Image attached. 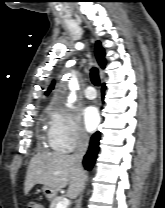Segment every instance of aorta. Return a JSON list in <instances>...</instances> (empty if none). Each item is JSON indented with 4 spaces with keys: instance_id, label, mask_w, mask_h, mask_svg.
<instances>
[{
    "instance_id": "aorta-1",
    "label": "aorta",
    "mask_w": 165,
    "mask_h": 208,
    "mask_svg": "<svg viewBox=\"0 0 165 208\" xmlns=\"http://www.w3.org/2000/svg\"><path fill=\"white\" fill-rule=\"evenodd\" d=\"M79 88L77 80L75 77L72 78V80L70 81V89H71V94L69 97V101L73 102L76 99V95H75V91Z\"/></svg>"
}]
</instances>
